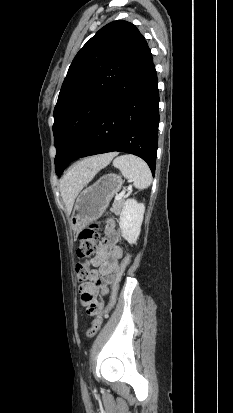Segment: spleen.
<instances>
[{
    "label": "spleen",
    "mask_w": 233,
    "mask_h": 413,
    "mask_svg": "<svg viewBox=\"0 0 233 413\" xmlns=\"http://www.w3.org/2000/svg\"><path fill=\"white\" fill-rule=\"evenodd\" d=\"M113 166L121 171L124 178L133 182L139 190L146 189L152 182L149 166L144 160L133 155H121L114 159Z\"/></svg>",
    "instance_id": "obj_1"
}]
</instances>
